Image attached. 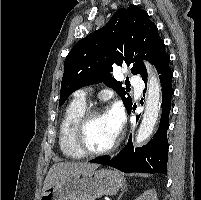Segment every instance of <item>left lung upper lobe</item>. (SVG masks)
I'll list each match as a JSON object with an SVG mask.
<instances>
[{
    "mask_svg": "<svg viewBox=\"0 0 201 200\" xmlns=\"http://www.w3.org/2000/svg\"><path fill=\"white\" fill-rule=\"evenodd\" d=\"M165 52L164 42L147 12L135 5L122 8L104 27L78 41L67 55L59 104L81 87L104 82L120 95L129 112L132 99L122 83L112 78L113 66L132 65L131 72L144 77L147 71L142 57L155 65Z\"/></svg>",
    "mask_w": 201,
    "mask_h": 200,
    "instance_id": "5c2ea615",
    "label": "left lung upper lobe"
}]
</instances>
